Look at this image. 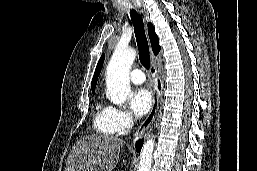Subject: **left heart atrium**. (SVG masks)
<instances>
[{
	"mask_svg": "<svg viewBox=\"0 0 257 171\" xmlns=\"http://www.w3.org/2000/svg\"><path fill=\"white\" fill-rule=\"evenodd\" d=\"M129 103L135 115L143 116L151 108L152 97L148 90L139 88L130 93Z\"/></svg>",
	"mask_w": 257,
	"mask_h": 171,
	"instance_id": "1",
	"label": "left heart atrium"
}]
</instances>
